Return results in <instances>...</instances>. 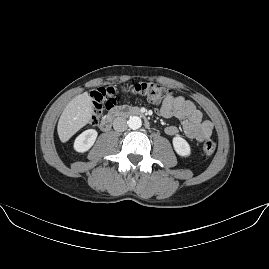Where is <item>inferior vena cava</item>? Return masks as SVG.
Masks as SVG:
<instances>
[{"label": "inferior vena cava", "instance_id": "602c4592", "mask_svg": "<svg viewBox=\"0 0 269 269\" xmlns=\"http://www.w3.org/2000/svg\"><path fill=\"white\" fill-rule=\"evenodd\" d=\"M113 128L117 132H124L128 128V124L125 118L123 117H116L113 120Z\"/></svg>", "mask_w": 269, "mask_h": 269}]
</instances>
